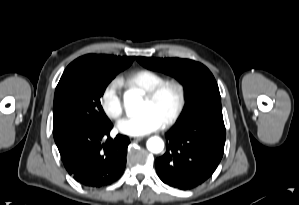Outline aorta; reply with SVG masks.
<instances>
[{
    "label": "aorta",
    "mask_w": 299,
    "mask_h": 205,
    "mask_svg": "<svg viewBox=\"0 0 299 205\" xmlns=\"http://www.w3.org/2000/svg\"><path fill=\"white\" fill-rule=\"evenodd\" d=\"M141 97L138 93L128 91L124 94V106L131 114H137L141 104ZM147 149L152 153H160L164 149V142L160 137L154 136L148 139Z\"/></svg>",
    "instance_id": "1"
}]
</instances>
